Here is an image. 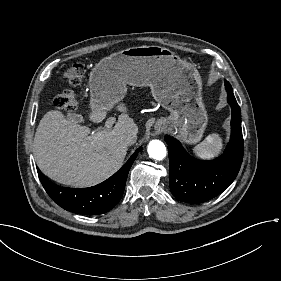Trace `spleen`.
Segmentation results:
<instances>
[{
  "label": "spleen",
  "instance_id": "1",
  "mask_svg": "<svg viewBox=\"0 0 281 281\" xmlns=\"http://www.w3.org/2000/svg\"><path fill=\"white\" fill-rule=\"evenodd\" d=\"M223 147L221 137L214 133L193 148L196 156L201 159H211L219 155Z\"/></svg>",
  "mask_w": 281,
  "mask_h": 281
}]
</instances>
